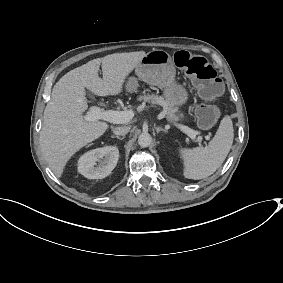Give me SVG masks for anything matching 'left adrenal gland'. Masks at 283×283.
Here are the masks:
<instances>
[{
    "label": "left adrenal gland",
    "mask_w": 283,
    "mask_h": 283,
    "mask_svg": "<svg viewBox=\"0 0 283 283\" xmlns=\"http://www.w3.org/2000/svg\"><path fill=\"white\" fill-rule=\"evenodd\" d=\"M155 129H156V132H157V133L160 132V131H163V132H165V133L168 132L166 129H163L162 127H155Z\"/></svg>",
    "instance_id": "obj_1"
}]
</instances>
